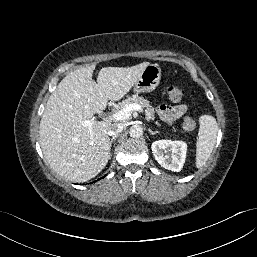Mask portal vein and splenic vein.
Masks as SVG:
<instances>
[{
	"mask_svg": "<svg viewBox=\"0 0 257 257\" xmlns=\"http://www.w3.org/2000/svg\"><path fill=\"white\" fill-rule=\"evenodd\" d=\"M133 111H142V107L139 104H129L124 106L121 110L116 111L112 115H109L107 117L108 120L112 121H124L128 119ZM95 121L93 120H86L83 122V125L87 126L89 128V132L92 133L91 126L93 125ZM93 138V136H92Z\"/></svg>",
	"mask_w": 257,
	"mask_h": 257,
	"instance_id": "18ae733b",
	"label": "portal vein and splenic vein"
}]
</instances>
